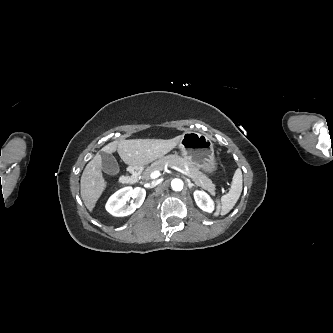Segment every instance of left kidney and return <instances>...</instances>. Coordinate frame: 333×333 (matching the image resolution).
Returning a JSON list of instances; mask_svg holds the SVG:
<instances>
[{
  "mask_svg": "<svg viewBox=\"0 0 333 333\" xmlns=\"http://www.w3.org/2000/svg\"><path fill=\"white\" fill-rule=\"evenodd\" d=\"M194 199L198 207L208 213L213 212L214 202L210 196L204 191H195L193 193Z\"/></svg>",
  "mask_w": 333,
  "mask_h": 333,
  "instance_id": "1",
  "label": "left kidney"
}]
</instances>
